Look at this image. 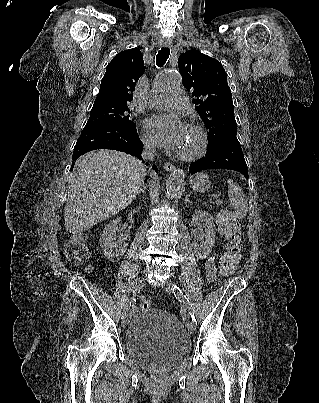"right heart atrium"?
<instances>
[{"instance_id":"obj_1","label":"right heart atrium","mask_w":319,"mask_h":403,"mask_svg":"<svg viewBox=\"0 0 319 403\" xmlns=\"http://www.w3.org/2000/svg\"><path fill=\"white\" fill-rule=\"evenodd\" d=\"M144 144L148 147V148H152L153 147V143L150 139L148 138H144Z\"/></svg>"}]
</instances>
